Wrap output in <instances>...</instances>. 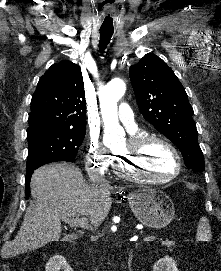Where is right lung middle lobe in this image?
<instances>
[{
	"label": "right lung middle lobe",
	"instance_id": "1",
	"mask_svg": "<svg viewBox=\"0 0 221 271\" xmlns=\"http://www.w3.org/2000/svg\"><path fill=\"white\" fill-rule=\"evenodd\" d=\"M84 137L85 130L52 127L27 130V170L55 161L73 162Z\"/></svg>",
	"mask_w": 221,
	"mask_h": 271
}]
</instances>
